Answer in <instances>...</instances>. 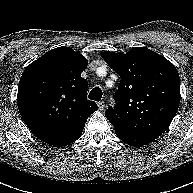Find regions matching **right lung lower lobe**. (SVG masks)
<instances>
[{
  "instance_id": "1",
  "label": "right lung lower lobe",
  "mask_w": 193,
  "mask_h": 193,
  "mask_svg": "<svg viewBox=\"0 0 193 193\" xmlns=\"http://www.w3.org/2000/svg\"><path fill=\"white\" fill-rule=\"evenodd\" d=\"M81 135L75 137V138H72V139H69V140H66V141H58L56 143L53 144V146L55 147H62V146H66V145H69L70 143L74 142L75 140H77Z\"/></svg>"
}]
</instances>
